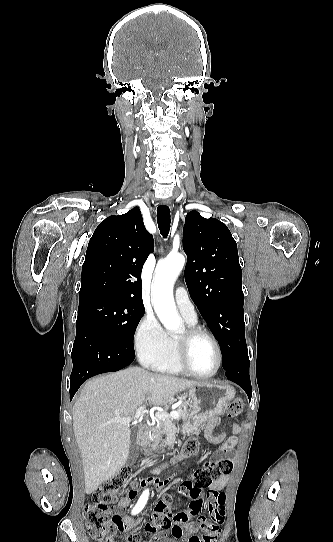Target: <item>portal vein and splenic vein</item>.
<instances>
[{
    "label": "portal vein and splenic vein",
    "mask_w": 333,
    "mask_h": 542,
    "mask_svg": "<svg viewBox=\"0 0 333 542\" xmlns=\"http://www.w3.org/2000/svg\"><path fill=\"white\" fill-rule=\"evenodd\" d=\"M146 406H141V408H138L135 412V416L133 418H116L115 422H120V424H130L132 420H142L146 410ZM155 418H159V420H165V418H172V420H177V418H180L179 412H170V414H166V412H156Z\"/></svg>",
    "instance_id": "18ae733b"
}]
</instances>
